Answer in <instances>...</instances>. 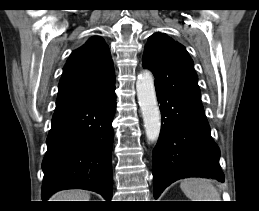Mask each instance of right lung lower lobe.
Segmentation results:
<instances>
[{
  "mask_svg": "<svg viewBox=\"0 0 259 211\" xmlns=\"http://www.w3.org/2000/svg\"><path fill=\"white\" fill-rule=\"evenodd\" d=\"M114 90L55 110L42 163L43 201L59 190L72 188L95 191L111 200Z\"/></svg>",
  "mask_w": 259,
  "mask_h": 211,
  "instance_id": "obj_1",
  "label": "right lung lower lobe"
}]
</instances>
